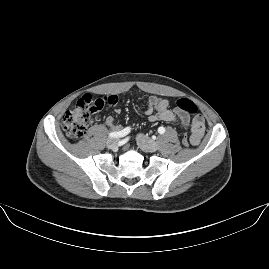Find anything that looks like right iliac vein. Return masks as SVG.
<instances>
[{
  "label": "right iliac vein",
  "mask_w": 269,
  "mask_h": 269,
  "mask_svg": "<svg viewBox=\"0 0 269 269\" xmlns=\"http://www.w3.org/2000/svg\"><path fill=\"white\" fill-rule=\"evenodd\" d=\"M117 144H118V139L117 138H111L107 142V147L110 148V149H113L114 147H116Z\"/></svg>",
  "instance_id": "right-iliac-vein-1"
}]
</instances>
